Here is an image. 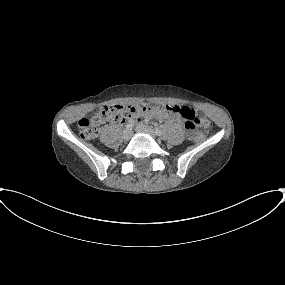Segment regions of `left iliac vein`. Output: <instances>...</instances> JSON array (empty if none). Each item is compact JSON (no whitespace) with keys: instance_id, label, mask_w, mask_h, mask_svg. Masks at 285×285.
<instances>
[{"instance_id":"1","label":"left iliac vein","mask_w":285,"mask_h":285,"mask_svg":"<svg viewBox=\"0 0 285 285\" xmlns=\"http://www.w3.org/2000/svg\"><path fill=\"white\" fill-rule=\"evenodd\" d=\"M135 130L140 133L148 134L152 137L155 136L153 130L149 126H146V125H138L136 126Z\"/></svg>"}]
</instances>
